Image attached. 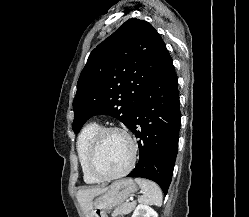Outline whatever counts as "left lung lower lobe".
<instances>
[{
  "label": "left lung lower lobe",
  "mask_w": 249,
  "mask_h": 217,
  "mask_svg": "<svg viewBox=\"0 0 249 217\" xmlns=\"http://www.w3.org/2000/svg\"><path fill=\"white\" fill-rule=\"evenodd\" d=\"M180 121L177 75L170 56L132 112L128 128L139 138V161L127 177L150 179L167 194L177 155Z\"/></svg>",
  "instance_id": "obj_1"
}]
</instances>
